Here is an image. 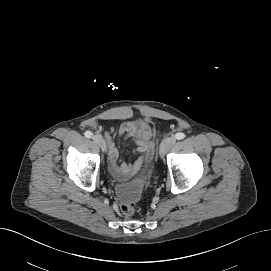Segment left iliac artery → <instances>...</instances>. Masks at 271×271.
Masks as SVG:
<instances>
[{
  "label": "left iliac artery",
  "mask_w": 271,
  "mask_h": 271,
  "mask_svg": "<svg viewBox=\"0 0 271 271\" xmlns=\"http://www.w3.org/2000/svg\"><path fill=\"white\" fill-rule=\"evenodd\" d=\"M175 138L178 139V140H181V139H184L185 138V134L184 133H177L175 135Z\"/></svg>",
  "instance_id": "1"
}]
</instances>
